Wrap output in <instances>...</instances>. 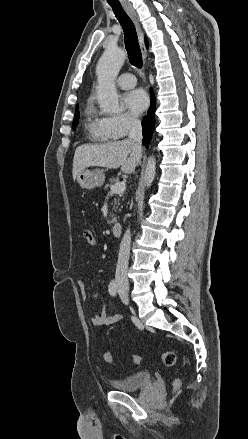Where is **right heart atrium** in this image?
<instances>
[{
  "label": "right heart atrium",
  "mask_w": 248,
  "mask_h": 439,
  "mask_svg": "<svg viewBox=\"0 0 248 439\" xmlns=\"http://www.w3.org/2000/svg\"><path fill=\"white\" fill-rule=\"evenodd\" d=\"M108 131L117 138L125 137L139 126L138 118L131 113H119L104 117Z\"/></svg>",
  "instance_id": "d8ad5b80"
}]
</instances>
